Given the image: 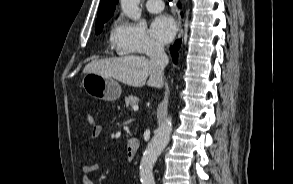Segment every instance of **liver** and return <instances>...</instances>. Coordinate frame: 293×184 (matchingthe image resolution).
Wrapping results in <instances>:
<instances>
[{
  "label": "liver",
  "mask_w": 293,
  "mask_h": 184,
  "mask_svg": "<svg viewBox=\"0 0 293 184\" xmlns=\"http://www.w3.org/2000/svg\"><path fill=\"white\" fill-rule=\"evenodd\" d=\"M83 72L112 77L133 87H142L149 77L148 86L163 87V75L158 74L150 60L143 56L94 59L85 66Z\"/></svg>",
  "instance_id": "6515ba94"
}]
</instances>
